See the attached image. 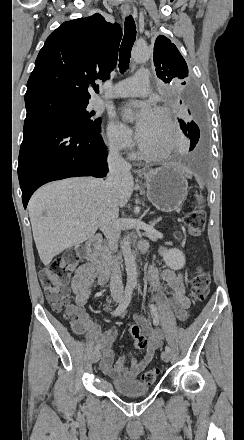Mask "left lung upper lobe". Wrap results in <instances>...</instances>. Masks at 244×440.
I'll list each match as a JSON object with an SVG mask.
<instances>
[{
	"mask_svg": "<svg viewBox=\"0 0 244 440\" xmlns=\"http://www.w3.org/2000/svg\"><path fill=\"white\" fill-rule=\"evenodd\" d=\"M154 65L157 77L165 83L185 79L188 76L187 64L171 41L163 35L154 44ZM186 82H183L184 85Z\"/></svg>",
	"mask_w": 244,
	"mask_h": 440,
	"instance_id": "obj_1",
	"label": "left lung upper lobe"
}]
</instances>
